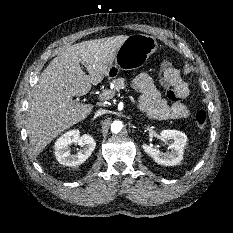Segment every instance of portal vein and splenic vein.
<instances>
[{
    "label": "portal vein and splenic vein",
    "instance_id": "portal-vein-and-splenic-vein-1",
    "mask_svg": "<svg viewBox=\"0 0 233 233\" xmlns=\"http://www.w3.org/2000/svg\"><path fill=\"white\" fill-rule=\"evenodd\" d=\"M113 94L111 93V91H105L104 93L99 95V100H109L113 98ZM132 101H134V99L132 97H130Z\"/></svg>",
    "mask_w": 233,
    "mask_h": 233
}]
</instances>
